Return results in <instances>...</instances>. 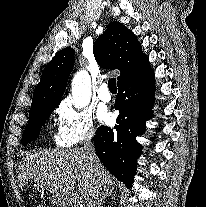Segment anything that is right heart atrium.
<instances>
[{
    "label": "right heart atrium",
    "mask_w": 206,
    "mask_h": 207,
    "mask_svg": "<svg viewBox=\"0 0 206 207\" xmlns=\"http://www.w3.org/2000/svg\"><path fill=\"white\" fill-rule=\"evenodd\" d=\"M56 143L61 147H73L91 141L96 133L93 114L76 108L70 100L63 101L56 110Z\"/></svg>",
    "instance_id": "d8ad5b80"
}]
</instances>
